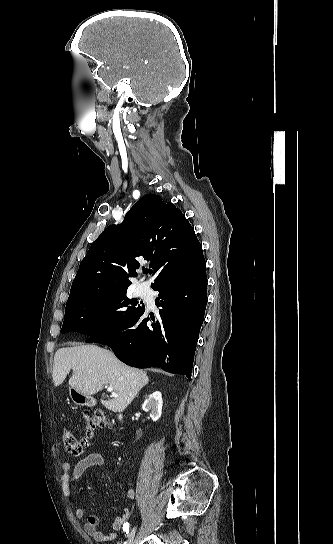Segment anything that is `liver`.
<instances>
[{
  "label": "liver",
  "mask_w": 333,
  "mask_h": 544,
  "mask_svg": "<svg viewBox=\"0 0 333 544\" xmlns=\"http://www.w3.org/2000/svg\"><path fill=\"white\" fill-rule=\"evenodd\" d=\"M70 370L69 386L83 395H93L109 385L112 395L101 403L113 412H122L149 382L145 372L120 362L112 351L96 345H75L57 350L53 363L54 386L61 385Z\"/></svg>",
  "instance_id": "obj_1"
}]
</instances>
